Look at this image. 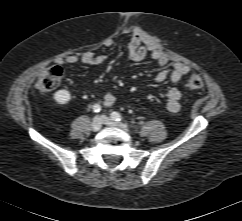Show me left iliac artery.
<instances>
[{
    "mask_svg": "<svg viewBox=\"0 0 242 221\" xmlns=\"http://www.w3.org/2000/svg\"><path fill=\"white\" fill-rule=\"evenodd\" d=\"M111 118L115 121H122V119H123L122 116L118 112H112Z\"/></svg>",
    "mask_w": 242,
    "mask_h": 221,
    "instance_id": "1",
    "label": "left iliac artery"
}]
</instances>
